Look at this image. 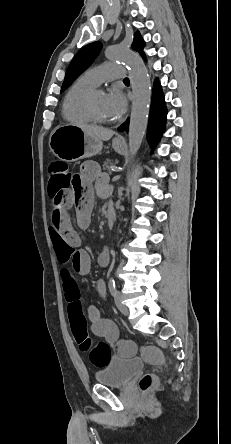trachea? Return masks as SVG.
Wrapping results in <instances>:
<instances>
[{
    "instance_id": "3493384b",
    "label": "trachea",
    "mask_w": 231,
    "mask_h": 444,
    "mask_svg": "<svg viewBox=\"0 0 231 444\" xmlns=\"http://www.w3.org/2000/svg\"><path fill=\"white\" fill-rule=\"evenodd\" d=\"M124 81H129V79H128V78H125Z\"/></svg>"
}]
</instances>
